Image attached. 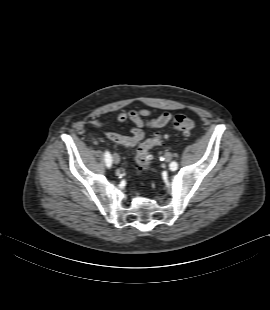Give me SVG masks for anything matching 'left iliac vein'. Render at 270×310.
Returning a JSON list of instances; mask_svg holds the SVG:
<instances>
[{
    "instance_id": "left-iliac-vein-1",
    "label": "left iliac vein",
    "mask_w": 270,
    "mask_h": 310,
    "mask_svg": "<svg viewBox=\"0 0 270 310\" xmlns=\"http://www.w3.org/2000/svg\"><path fill=\"white\" fill-rule=\"evenodd\" d=\"M164 159L166 162H170L172 159V154L171 153H166L164 156Z\"/></svg>"
}]
</instances>
